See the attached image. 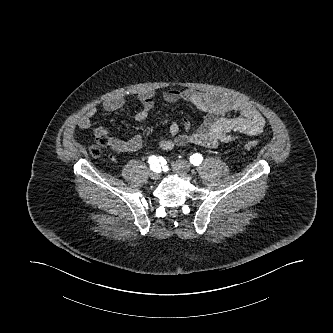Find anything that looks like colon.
Here are the masks:
<instances>
[{"label": "colon", "instance_id": "1", "mask_svg": "<svg viewBox=\"0 0 333 333\" xmlns=\"http://www.w3.org/2000/svg\"><path fill=\"white\" fill-rule=\"evenodd\" d=\"M108 144V137L103 135L96 138L95 144L91 146L90 153L94 157H98L101 153V148ZM257 147L256 141H247L243 145V149L247 152L254 150Z\"/></svg>", "mask_w": 333, "mask_h": 333}]
</instances>
